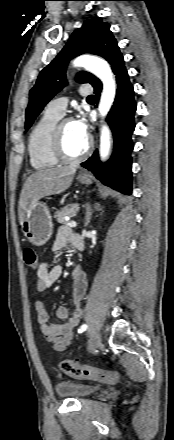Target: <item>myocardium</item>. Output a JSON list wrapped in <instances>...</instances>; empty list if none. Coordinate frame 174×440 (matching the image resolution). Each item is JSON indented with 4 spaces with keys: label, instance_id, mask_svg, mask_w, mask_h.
Segmentation results:
<instances>
[{
    "label": "myocardium",
    "instance_id": "obj_1",
    "mask_svg": "<svg viewBox=\"0 0 174 440\" xmlns=\"http://www.w3.org/2000/svg\"><path fill=\"white\" fill-rule=\"evenodd\" d=\"M70 121L69 119H65L60 121L55 125L54 131H53V138H52V151L54 156L57 160L63 163H77L84 159L91 150L92 147V141L91 139H87V144L84 149V151L77 155V156H69L64 149V143H63V133H62V126L65 122Z\"/></svg>",
    "mask_w": 174,
    "mask_h": 440
}]
</instances>
